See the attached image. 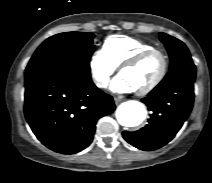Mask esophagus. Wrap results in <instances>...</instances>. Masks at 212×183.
<instances>
[{"label":"esophagus","mask_w":212,"mask_h":183,"mask_svg":"<svg viewBox=\"0 0 212 183\" xmlns=\"http://www.w3.org/2000/svg\"><path fill=\"white\" fill-rule=\"evenodd\" d=\"M114 102H115L116 105H118V104L121 102V99L115 97V98H114Z\"/></svg>","instance_id":"obj_1"}]
</instances>
